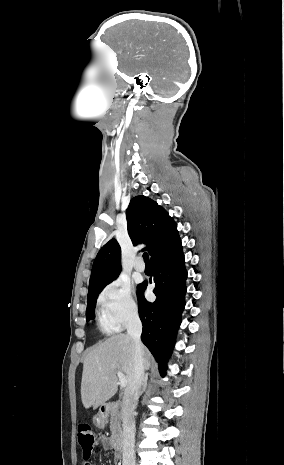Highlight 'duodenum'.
Wrapping results in <instances>:
<instances>
[{
	"instance_id": "410a0bca",
	"label": "duodenum",
	"mask_w": 284,
	"mask_h": 465,
	"mask_svg": "<svg viewBox=\"0 0 284 465\" xmlns=\"http://www.w3.org/2000/svg\"><path fill=\"white\" fill-rule=\"evenodd\" d=\"M112 405L102 406L98 412V421L101 425L105 422V417L108 415L111 410ZM124 434L121 431H115L112 436V445L117 450H121L124 447Z\"/></svg>"
}]
</instances>
